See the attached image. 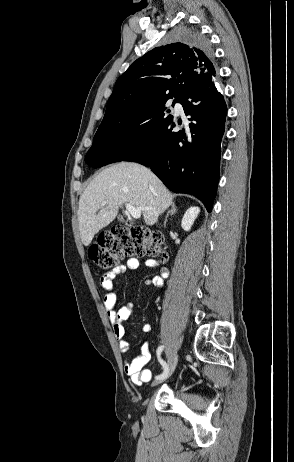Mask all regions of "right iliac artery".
I'll list each match as a JSON object with an SVG mask.
<instances>
[{"instance_id":"82829eb1","label":"right iliac artery","mask_w":294,"mask_h":462,"mask_svg":"<svg viewBox=\"0 0 294 462\" xmlns=\"http://www.w3.org/2000/svg\"><path fill=\"white\" fill-rule=\"evenodd\" d=\"M163 349H164V346H160V347H158V349H157L158 360H159L160 364L163 366V369H164V371H163L162 374L157 375V376L155 377V379H159V380H160V379L166 378L167 372H168V365H167V363H166L163 359H161V357H160L161 352L163 351Z\"/></svg>"}]
</instances>
